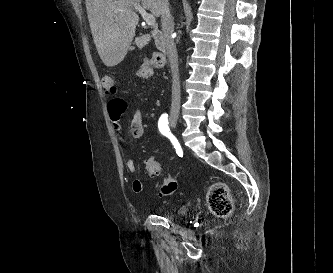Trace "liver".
I'll use <instances>...</instances> for the list:
<instances>
[{
	"instance_id": "1",
	"label": "liver",
	"mask_w": 333,
	"mask_h": 273,
	"mask_svg": "<svg viewBox=\"0 0 333 273\" xmlns=\"http://www.w3.org/2000/svg\"><path fill=\"white\" fill-rule=\"evenodd\" d=\"M160 0H86V10L98 54L107 67L119 64L127 54L135 35L140 4L155 17L160 16ZM116 9H120L115 13Z\"/></svg>"
}]
</instances>
